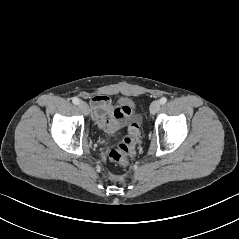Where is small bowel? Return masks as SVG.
Segmentation results:
<instances>
[{"label":"small bowel","mask_w":239,"mask_h":239,"mask_svg":"<svg viewBox=\"0 0 239 239\" xmlns=\"http://www.w3.org/2000/svg\"><path fill=\"white\" fill-rule=\"evenodd\" d=\"M91 113L94 121L106 134L120 130L132 115L128 103L113 106L107 95H96L91 99Z\"/></svg>","instance_id":"small-bowel-1"}]
</instances>
